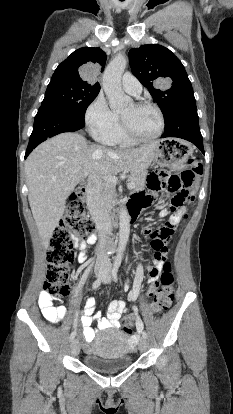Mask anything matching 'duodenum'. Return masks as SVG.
Instances as JSON below:
<instances>
[{
    "label": "duodenum",
    "instance_id": "duodenum-1",
    "mask_svg": "<svg viewBox=\"0 0 233 414\" xmlns=\"http://www.w3.org/2000/svg\"><path fill=\"white\" fill-rule=\"evenodd\" d=\"M136 216H137L136 211H134L132 208H130L129 211L127 212V218L129 220H133V219L136 218Z\"/></svg>",
    "mask_w": 233,
    "mask_h": 414
}]
</instances>
